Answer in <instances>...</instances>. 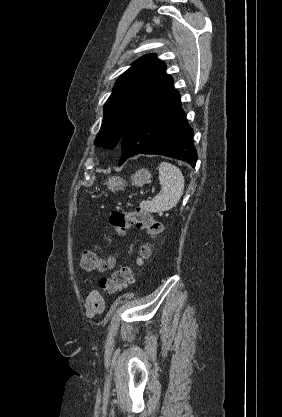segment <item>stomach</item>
<instances>
[{
	"instance_id": "1",
	"label": "stomach",
	"mask_w": 282,
	"mask_h": 417,
	"mask_svg": "<svg viewBox=\"0 0 282 417\" xmlns=\"http://www.w3.org/2000/svg\"><path fill=\"white\" fill-rule=\"evenodd\" d=\"M131 182L134 186H143L146 182H151V172L147 168H140L136 170L131 176ZM108 188L111 190H123L127 186L126 180L121 176H110L106 182Z\"/></svg>"
}]
</instances>
